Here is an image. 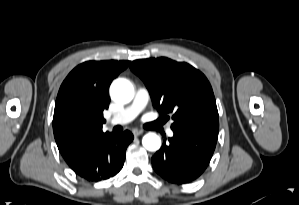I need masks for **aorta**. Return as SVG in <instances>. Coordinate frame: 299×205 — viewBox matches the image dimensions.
Returning <instances> with one entry per match:
<instances>
[{
    "mask_svg": "<svg viewBox=\"0 0 299 205\" xmlns=\"http://www.w3.org/2000/svg\"><path fill=\"white\" fill-rule=\"evenodd\" d=\"M111 98L119 103H129L134 97V88L127 79H117L110 87ZM142 144L148 151H157L161 147V139L155 133H147L142 139Z\"/></svg>",
    "mask_w": 299,
    "mask_h": 205,
    "instance_id": "obj_1",
    "label": "aorta"
}]
</instances>
